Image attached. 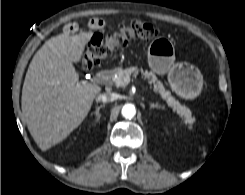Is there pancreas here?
I'll return each instance as SVG.
<instances>
[{
	"mask_svg": "<svg viewBox=\"0 0 245 195\" xmlns=\"http://www.w3.org/2000/svg\"><path fill=\"white\" fill-rule=\"evenodd\" d=\"M139 71H141L143 77L148 80L154 91L160 94V96L167 102L168 106L176 111L182 118L183 122L188 125L189 129H191L195 122V118L192 116L191 111L171 96L170 92L166 90L163 83L157 79L156 75L152 71H143L142 68L139 70L137 66L126 69H115L109 74V79L110 82L115 84L117 87L125 86V78L130 77L131 75L137 76Z\"/></svg>",
	"mask_w": 245,
	"mask_h": 195,
	"instance_id": "obj_1",
	"label": "pancreas"
}]
</instances>
